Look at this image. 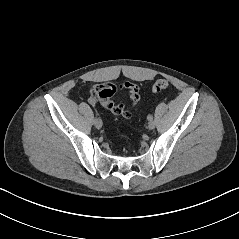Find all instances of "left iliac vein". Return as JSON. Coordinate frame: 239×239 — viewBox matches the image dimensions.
Returning a JSON list of instances; mask_svg holds the SVG:
<instances>
[{
    "label": "left iliac vein",
    "instance_id": "4c4485c4",
    "mask_svg": "<svg viewBox=\"0 0 239 239\" xmlns=\"http://www.w3.org/2000/svg\"><path fill=\"white\" fill-rule=\"evenodd\" d=\"M148 128H149L150 130H152V129L155 128V122H154L153 120L149 121V123H148Z\"/></svg>",
    "mask_w": 239,
    "mask_h": 239
}]
</instances>
